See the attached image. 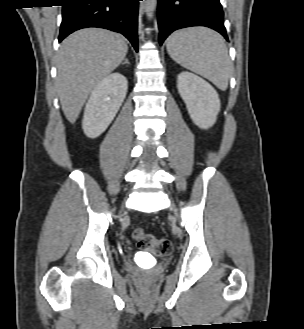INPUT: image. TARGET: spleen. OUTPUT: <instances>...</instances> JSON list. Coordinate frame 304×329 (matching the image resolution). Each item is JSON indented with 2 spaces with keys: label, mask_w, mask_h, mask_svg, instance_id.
<instances>
[{
  "label": "spleen",
  "mask_w": 304,
  "mask_h": 329,
  "mask_svg": "<svg viewBox=\"0 0 304 329\" xmlns=\"http://www.w3.org/2000/svg\"><path fill=\"white\" fill-rule=\"evenodd\" d=\"M167 52L182 67L207 78L222 91L227 89L231 63L217 32L205 27L175 31L168 38Z\"/></svg>",
  "instance_id": "obj_1"
}]
</instances>
